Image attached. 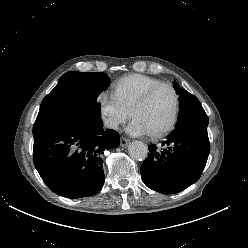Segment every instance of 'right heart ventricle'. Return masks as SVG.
Returning <instances> with one entry per match:
<instances>
[{"label":"right heart ventricle","instance_id":"obj_1","mask_svg":"<svg viewBox=\"0 0 248 248\" xmlns=\"http://www.w3.org/2000/svg\"><path fill=\"white\" fill-rule=\"evenodd\" d=\"M159 83L162 82L147 75L130 74L117 81L114 86L113 94L120 104L130 112L133 105L141 98V96L149 88Z\"/></svg>","mask_w":248,"mask_h":248}]
</instances>
